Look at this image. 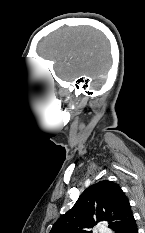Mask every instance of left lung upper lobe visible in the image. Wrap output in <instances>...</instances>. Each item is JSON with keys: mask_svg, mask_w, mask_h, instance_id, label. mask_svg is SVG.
I'll use <instances>...</instances> for the list:
<instances>
[{"mask_svg": "<svg viewBox=\"0 0 145 233\" xmlns=\"http://www.w3.org/2000/svg\"><path fill=\"white\" fill-rule=\"evenodd\" d=\"M133 220L129 200L120 186L103 180L89 186L50 233H92L91 228L100 222H109L116 233H124Z\"/></svg>", "mask_w": 145, "mask_h": 233, "instance_id": "1", "label": "left lung upper lobe"}]
</instances>
